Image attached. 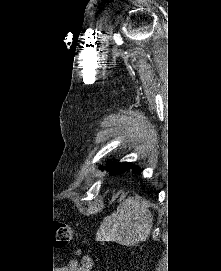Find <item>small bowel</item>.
<instances>
[{
	"instance_id": "obj_1",
	"label": "small bowel",
	"mask_w": 221,
	"mask_h": 271,
	"mask_svg": "<svg viewBox=\"0 0 221 271\" xmlns=\"http://www.w3.org/2000/svg\"><path fill=\"white\" fill-rule=\"evenodd\" d=\"M92 260L85 256L80 263L73 261L69 266V271H90Z\"/></svg>"
}]
</instances>
